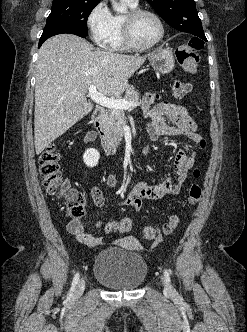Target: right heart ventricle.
Masks as SVG:
<instances>
[{
	"instance_id": "1",
	"label": "right heart ventricle",
	"mask_w": 247,
	"mask_h": 332,
	"mask_svg": "<svg viewBox=\"0 0 247 332\" xmlns=\"http://www.w3.org/2000/svg\"><path fill=\"white\" fill-rule=\"evenodd\" d=\"M131 9L137 7L127 1ZM123 17L122 15H113V26L106 46L112 50H128L130 49L124 41L123 37Z\"/></svg>"
}]
</instances>
